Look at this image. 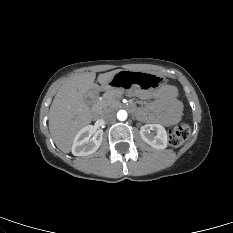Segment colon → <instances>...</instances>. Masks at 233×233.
Listing matches in <instances>:
<instances>
[{
	"instance_id": "obj_1",
	"label": "colon",
	"mask_w": 233,
	"mask_h": 233,
	"mask_svg": "<svg viewBox=\"0 0 233 233\" xmlns=\"http://www.w3.org/2000/svg\"><path fill=\"white\" fill-rule=\"evenodd\" d=\"M190 135V128L186 124H180L168 131V142L173 147H178L183 144Z\"/></svg>"
}]
</instances>
